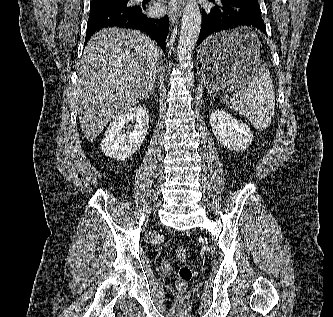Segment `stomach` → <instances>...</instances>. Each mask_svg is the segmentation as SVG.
<instances>
[{
	"mask_svg": "<svg viewBox=\"0 0 333 317\" xmlns=\"http://www.w3.org/2000/svg\"><path fill=\"white\" fill-rule=\"evenodd\" d=\"M207 41L200 49V62H204L203 81L199 88L220 95L238 89L250 81V74H262L257 69H266V62L259 61L260 48L256 29L248 24H235V29H218L207 33Z\"/></svg>",
	"mask_w": 333,
	"mask_h": 317,
	"instance_id": "1",
	"label": "stomach"
}]
</instances>
